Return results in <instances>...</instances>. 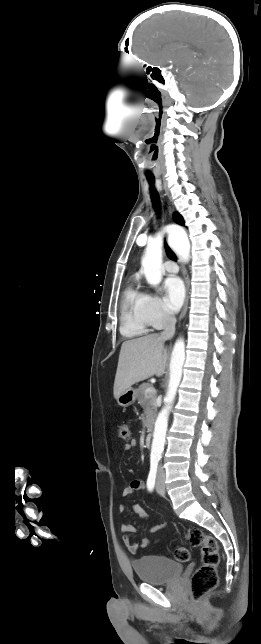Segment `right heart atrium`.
<instances>
[{
    "instance_id": "right-heart-atrium-1",
    "label": "right heart atrium",
    "mask_w": 261,
    "mask_h": 644,
    "mask_svg": "<svg viewBox=\"0 0 261 644\" xmlns=\"http://www.w3.org/2000/svg\"><path fill=\"white\" fill-rule=\"evenodd\" d=\"M145 307L151 326L162 328L172 322L171 315L165 310L162 300L155 294H145Z\"/></svg>"
}]
</instances>
